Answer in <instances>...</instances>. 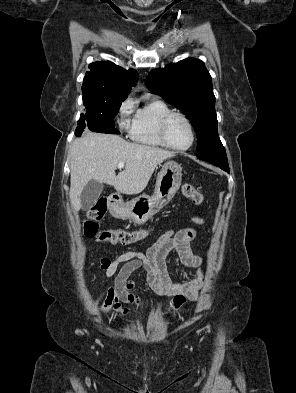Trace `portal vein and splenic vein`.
Wrapping results in <instances>:
<instances>
[{"instance_id":"18ae733b","label":"portal vein and splenic vein","mask_w":296,"mask_h":393,"mask_svg":"<svg viewBox=\"0 0 296 393\" xmlns=\"http://www.w3.org/2000/svg\"><path fill=\"white\" fill-rule=\"evenodd\" d=\"M124 162H120V163H118V165H117V167H118V169H122L123 167H124Z\"/></svg>"}]
</instances>
